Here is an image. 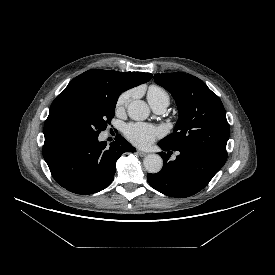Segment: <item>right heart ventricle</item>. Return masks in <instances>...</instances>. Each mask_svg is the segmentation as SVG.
<instances>
[{"label": "right heart ventricle", "mask_w": 275, "mask_h": 275, "mask_svg": "<svg viewBox=\"0 0 275 275\" xmlns=\"http://www.w3.org/2000/svg\"><path fill=\"white\" fill-rule=\"evenodd\" d=\"M147 99L150 105L164 102L167 105L170 102V97L165 89L158 85H151L147 91Z\"/></svg>", "instance_id": "obj_1"}]
</instances>
